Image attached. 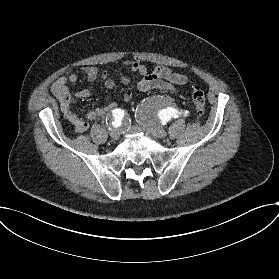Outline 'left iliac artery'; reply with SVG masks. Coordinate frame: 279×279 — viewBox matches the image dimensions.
I'll return each instance as SVG.
<instances>
[{"label": "left iliac artery", "instance_id": "1", "mask_svg": "<svg viewBox=\"0 0 279 279\" xmlns=\"http://www.w3.org/2000/svg\"><path fill=\"white\" fill-rule=\"evenodd\" d=\"M188 111L184 112V115H187ZM172 117H178V111L174 108H168L160 112V120L163 125H165Z\"/></svg>", "mask_w": 279, "mask_h": 279}]
</instances>
